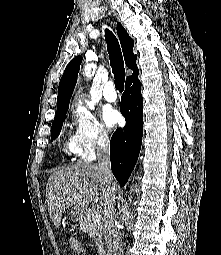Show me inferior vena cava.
<instances>
[{
	"label": "inferior vena cava",
	"instance_id": "602c4592",
	"mask_svg": "<svg viewBox=\"0 0 221 255\" xmlns=\"http://www.w3.org/2000/svg\"><path fill=\"white\" fill-rule=\"evenodd\" d=\"M97 160L99 169L109 180H113L110 166L109 140L105 136L100 137L98 140ZM115 194L116 191L112 189V197L105 207L104 213L106 255H123L122 235L116 224Z\"/></svg>",
	"mask_w": 221,
	"mask_h": 255
}]
</instances>
